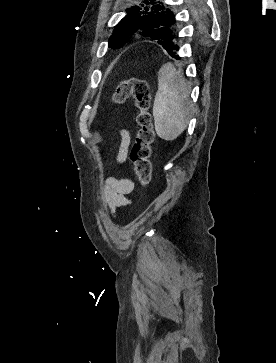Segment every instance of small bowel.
Masks as SVG:
<instances>
[{
  "mask_svg": "<svg viewBox=\"0 0 276 363\" xmlns=\"http://www.w3.org/2000/svg\"><path fill=\"white\" fill-rule=\"evenodd\" d=\"M130 141L129 133L122 131L117 154V162L119 164H123L127 160ZM134 188L135 183L131 178H107L101 194L105 208L111 213H115L118 208L131 204V199L128 195L133 192Z\"/></svg>",
  "mask_w": 276,
  "mask_h": 363,
  "instance_id": "1",
  "label": "small bowel"
}]
</instances>
